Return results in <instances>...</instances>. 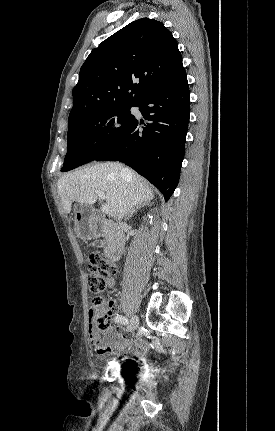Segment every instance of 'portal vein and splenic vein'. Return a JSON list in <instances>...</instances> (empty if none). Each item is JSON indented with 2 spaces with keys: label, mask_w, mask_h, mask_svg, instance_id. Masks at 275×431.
Segmentation results:
<instances>
[{
  "label": "portal vein and splenic vein",
  "mask_w": 275,
  "mask_h": 431,
  "mask_svg": "<svg viewBox=\"0 0 275 431\" xmlns=\"http://www.w3.org/2000/svg\"><path fill=\"white\" fill-rule=\"evenodd\" d=\"M95 193L99 196V198L105 199V194L101 190H95ZM101 211L105 214H108L110 212L109 205H103Z\"/></svg>",
  "instance_id": "18ae733b"
}]
</instances>
